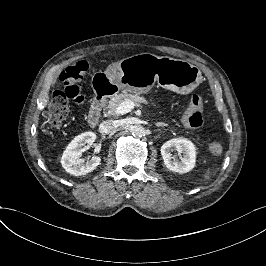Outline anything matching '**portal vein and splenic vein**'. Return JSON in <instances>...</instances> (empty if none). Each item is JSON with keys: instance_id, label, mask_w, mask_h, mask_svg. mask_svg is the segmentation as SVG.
Segmentation results:
<instances>
[{"instance_id": "obj_1", "label": "portal vein and splenic vein", "mask_w": 266, "mask_h": 266, "mask_svg": "<svg viewBox=\"0 0 266 266\" xmlns=\"http://www.w3.org/2000/svg\"><path fill=\"white\" fill-rule=\"evenodd\" d=\"M134 107L135 103L129 99H126L116 107L115 113L119 115H124L131 112Z\"/></svg>"}]
</instances>
